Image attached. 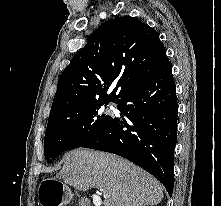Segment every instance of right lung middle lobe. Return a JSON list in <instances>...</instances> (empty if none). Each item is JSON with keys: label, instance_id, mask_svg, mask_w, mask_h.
Instances as JSON below:
<instances>
[{"label": "right lung middle lobe", "instance_id": "1", "mask_svg": "<svg viewBox=\"0 0 221 206\" xmlns=\"http://www.w3.org/2000/svg\"><path fill=\"white\" fill-rule=\"evenodd\" d=\"M108 102L80 105L49 116L44 139L45 158L51 159L63 151L81 147L113 119L101 107Z\"/></svg>", "mask_w": 221, "mask_h": 206}]
</instances>
